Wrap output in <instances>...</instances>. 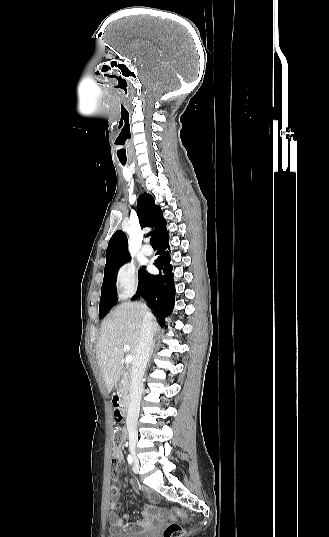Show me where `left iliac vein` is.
I'll return each mask as SVG.
<instances>
[{"mask_svg": "<svg viewBox=\"0 0 329 537\" xmlns=\"http://www.w3.org/2000/svg\"><path fill=\"white\" fill-rule=\"evenodd\" d=\"M136 469H138V464H136Z\"/></svg>", "mask_w": 329, "mask_h": 537, "instance_id": "obj_1", "label": "left iliac vein"}]
</instances>
